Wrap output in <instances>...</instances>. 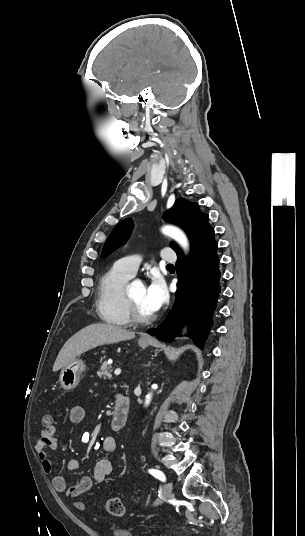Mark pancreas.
Listing matches in <instances>:
<instances>
[{
    "mask_svg": "<svg viewBox=\"0 0 305 536\" xmlns=\"http://www.w3.org/2000/svg\"><path fill=\"white\" fill-rule=\"evenodd\" d=\"M112 372H113L112 366H110L108 362H104L99 372H97V376L98 378H103V380H107V378L108 380H112Z\"/></svg>",
    "mask_w": 305,
    "mask_h": 536,
    "instance_id": "obj_1",
    "label": "pancreas"
}]
</instances>
